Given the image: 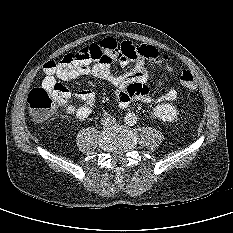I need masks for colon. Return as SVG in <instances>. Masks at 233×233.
Returning a JSON list of instances; mask_svg holds the SVG:
<instances>
[{
  "label": "colon",
  "mask_w": 233,
  "mask_h": 233,
  "mask_svg": "<svg viewBox=\"0 0 233 233\" xmlns=\"http://www.w3.org/2000/svg\"><path fill=\"white\" fill-rule=\"evenodd\" d=\"M114 52L119 51L118 45L110 47ZM103 56V50L100 46L92 44L82 48L77 53H68L59 61H49L46 63L48 67L58 68L72 65L79 60L99 59ZM181 84L188 90L196 89V82L192 72L185 68L180 75ZM28 105L30 113L35 120L42 121L47 119L55 112L61 103L58 97L45 87L34 88L28 94Z\"/></svg>",
  "instance_id": "1"
}]
</instances>
